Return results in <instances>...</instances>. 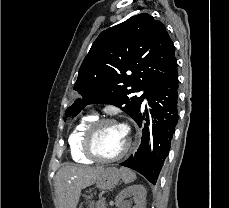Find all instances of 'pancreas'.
<instances>
[{
    "mask_svg": "<svg viewBox=\"0 0 229 208\" xmlns=\"http://www.w3.org/2000/svg\"><path fill=\"white\" fill-rule=\"evenodd\" d=\"M90 208H106L104 198H101V200H98V202H93V204H92V206H90Z\"/></svg>",
    "mask_w": 229,
    "mask_h": 208,
    "instance_id": "pancreas-1",
    "label": "pancreas"
}]
</instances>
